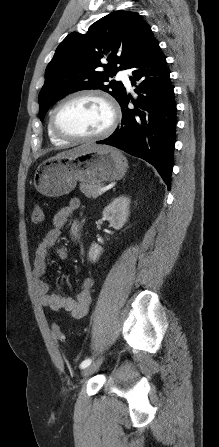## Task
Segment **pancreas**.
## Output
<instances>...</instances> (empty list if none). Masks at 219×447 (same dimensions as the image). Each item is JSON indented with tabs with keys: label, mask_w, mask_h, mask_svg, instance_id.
<instances>
[{
	"label": "pancreas",
	"mask_w": 219,
	"mask_h": 447,
	"mask_svg": "<svg viewBox=\"0 0 219 447\" xmlns=\"http://www.w3.org/2000/svg\"><path fill=\"white\" fill-rule=\"evenodd\" d=\"M103 187L102 183H80V191L88 198H97L101 193H99L97 190L99 188Z\"/></svg>",
	"instance_id": "1"
}]
</instances>
